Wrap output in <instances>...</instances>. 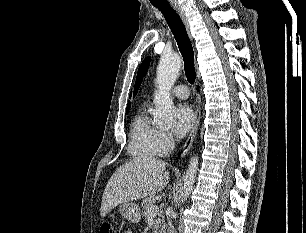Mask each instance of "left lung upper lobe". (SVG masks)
<instances>
[{
  "label": "left lung upper lobe",
  "instance_id": "obj_1",
  "mask_svg": "<svg viewBox=\"0 0 306 233\" xmlns=\"http://www.w3.org/2000/svg\"><path fill=\"white\" fill-rule=\"evenodd\" d=\"M150 63V57H146L142 64L140 65L137 73L136 83H135V89H134V95L137 93L140 83L142 81V78L146 75V72L148 70Z\"/></svg>",
  "mask_w": 306,
  "mask_h": 233
}]
</instances>
